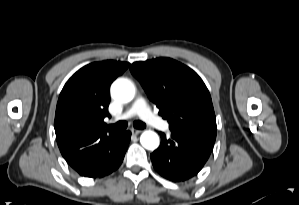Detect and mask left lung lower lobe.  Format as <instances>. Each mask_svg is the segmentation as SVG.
<instances>
[{"label": "left lung lower lobe", "mask_w": 299, "mask_h": 205, "mask_svg": "<svg viewBox=\"0 0 299 205\" xmlns=\"http://www.w3.org/2000/svg\"><path fill=\"white\" fill-rule=\"evenodd\" d=\"M161 135V144L151 154L155 170L164 178L180 182L195 176L208 160L216 134L172 131L171 138Z\"/></svg>", "instance_id": "0a47b994"}]
</instances>
